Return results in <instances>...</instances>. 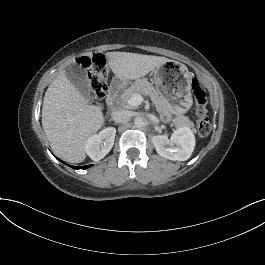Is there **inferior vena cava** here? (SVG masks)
<instances>
[{
    "label": "inferior vena cava",
    "mask_w": 265,
    "mask_h": 265,
    "mask_svg": "<svg viewBox=\"0 0 265 265\" xmlns=\"http://www.w3.org/2000/svg\"><path fill=\"white\" fill-rule=\"evenodd\" d=\"M112 119L116 122H126L131 118V112L126 110L115 111L111 115Z\"/></svg>",
    "instance_id": "1"
}]
</instances>
